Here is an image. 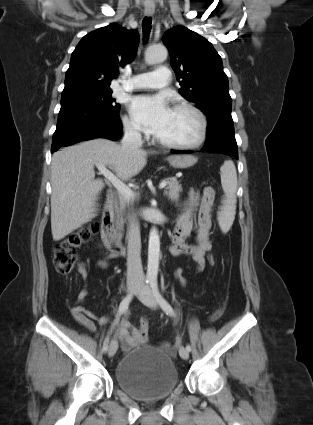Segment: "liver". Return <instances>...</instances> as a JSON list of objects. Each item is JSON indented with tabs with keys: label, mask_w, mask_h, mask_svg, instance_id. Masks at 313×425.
Returning <instances> with one entry per match:
<instances>
[{
	"label": "liver",
	"mask_w": 313,
	"mask_h": 425,
	"mask_svg": "<svg viewBox=\"0 0 313 425\" xmlns=\"http://www.w3.org/2000/svg\"><path fill=\"white\" fill-rule=\"evenodd\" d=\"M148 152L124 151L107 139L66 147L52 156L51 231L54 241L65 238L95 217V202L105 184L95 179L94 165L103 164L127 181L147 163Z\"/></svg>",
	"instance_id": "1"
}]
</instances>
